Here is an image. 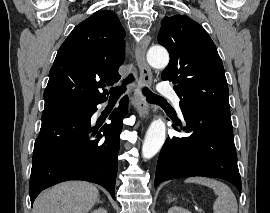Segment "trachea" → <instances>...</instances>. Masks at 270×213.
Here are the masks:
<instances>
[{
  "instance_id": "1",
  "label": "trachea",
  "mask_w": 270,
  "mask_h": 213,
  "mask_svg": "<svg viewBox=\"0 0 270 213\" xmlns=\"http://www.w3.org/2000/svg\"><path fill=\"white\" fill-rule=\"evenodd\" d=\"M134 81V77L132 74H130L123 82L122 86L120 87H115V88H111L110 89V99H118L122 93H124V91L126 90V85L133 82ZM143 94L144 96H146V99L148 102L150 103H154V102H160V101H165L164 98L155 95L154 93H152L148 88L144 87L143 88Z\"/></svg>"
}]
</instances>
